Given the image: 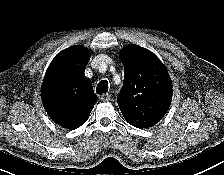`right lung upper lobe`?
I'll list each match as a JSON object with an SVG mask.
<instances>
[{
    "mask_svg": "<svg viewBox=\"0 0 224 175\" xmlns=\"http://www.w3.org/2000/svg\"><path fill=\"white\" fill-rule=\"evenodd\" d=\"M90 58L88 49L72 46L51 62L42 85L43 106L50 118L70 130L88 119L97 96L84 71Z\"/></svg>",
    "mask_w": 224,
    "mask_h": 175,
    "instance_id": "1",
    "label": "right lung upper lobe"
}]
</instances>
